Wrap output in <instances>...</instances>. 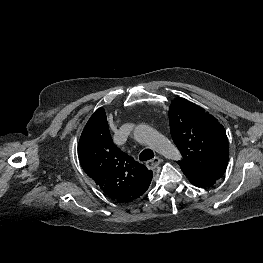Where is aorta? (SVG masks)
Here are the masks:
<instances>
[{
  "mask_svg": "<svg viewBox=\"0 0 263 263\" xmlns=\"http://www.w3.org/2000/svg\"><path fill=\"white\" fill-rule=\"evenodd\" d=\"M135 138L152 145L157 151L172 160H179L178 151L158 132L148 125L141 124L136 127Z\"/></svg>",
  "mask_w": 263,
  "mask_h": 263,
  "instance_id": "obj_1",
  "label": "aorta"
}]
</instances>
